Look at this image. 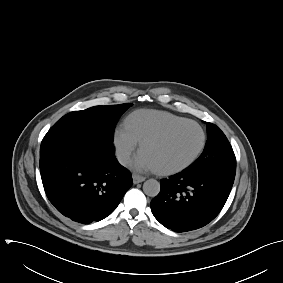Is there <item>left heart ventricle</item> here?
I'll use <instances>...</instances> for the list:
<instances>
[{
	"label": "left heart ventricle",
	"mask_w": 283,
	"mask_h": 283,
	"mask_svg": "<svg viewBox=\"0 0 283 283\" xmlns=\"http://www.w3.org/2000/svg\"><path fill=\"white\" fill-rule=\"evenodd\" d=\"M201 134L193 125H182L158 142L149 143L143 149L157 169L176 167L187 161L197 150Z\"/></svg>",
	"instance_id": "obj_1"
}]
</instances>
